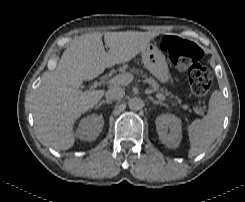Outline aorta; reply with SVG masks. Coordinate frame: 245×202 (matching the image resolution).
Returning <instances> with one entry per match:
<instances>
[{
    "label": "aorta",
    "instance_id": "762f6f07",
    "mask_svg": "<svg viewBox=\"0 0 245 202\" xmlns=\"http://www.w3.org/2000/svg\"><path fill=\"white\" fill-rule=\"evenodd\" d=\"M128 106L131 110L138 111L143 108L144 102L142 99L134 97L129 100Z\"/></svg>",
    "mask_w": 245,
    "mask_h": 202
}]
</instances>
